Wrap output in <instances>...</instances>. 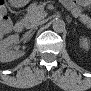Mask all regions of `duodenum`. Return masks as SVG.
<instances>
[{
  "label": "duodenum",
  "instance_id": "1",
  "mask_svg": "<svg viewBox=\"0 0 91 91\" xmlns=\"http://www.w3.org/2000/svg\"><path fill=\"white\" fill-rule=\"evenodd\" d=\"M25 23L23 20H18L15 22L13 29L15 32H22L24 30Z\"/></svg>",
  "mask_w": 91,
  "mask_h": 91
}]
</instances>
